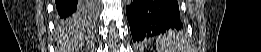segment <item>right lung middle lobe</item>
<instances>
[{"instance_id":"obj_1","label":"right lung middle lobe","mask_w":261,"mask_h":52,"mask_svg":"<svg viewBox=\"0 0 261 52\" xmlns=\"http://www.w3.org/2000/svg\"><path fill=\"white\" fill-rule=\"evenodd\" d=\"M84 9L75 17L71 19H60L59 23L62 25H67L73 21L80 22L83 19L85 10L91 9L92 11L96 8L97 3L95 1L82 2Z\"/></svg>"}]
</instances>
